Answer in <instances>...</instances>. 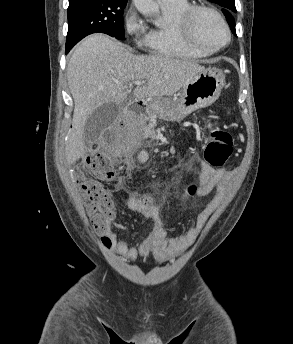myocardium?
<instances>
[{"label":"myocardium","mask_w":293,"mask_h":344,"mask_svg":"<svg viewBox=\"0 0 293 344\" xmlns=\"http://www.w3.org/2000/svg\"><path fill=\"white\" fill-rule=\"evenodd\" d=\"M200 12H208L214 15L222 24L226 32V41L222 45L216 48L210 49V48H206L202 46L200 43L197 42L193 34V22L196 16L198 15V13ZM177 30L182 40L189 47H191L192 49L198 52L208 54V55L221 51L226 46H228V44L231 41V30L226 19L216 8L208 6V5H193L188 10H186L177 21Z\"/></svg>","instance_id":"f54148a6"}]
</instances>
